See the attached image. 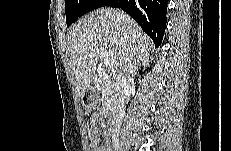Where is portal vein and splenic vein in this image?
Wrapping results in <instances>:
<instances>
[{
    "label": "portal vein and splenic vein",
    "mask_w": 231,
    "mask_h": 151,
    "mask_svg": "<svg viewBox=\"0 0 231 151\" xmlns=\"http://www.w3.org/2000/svg\"><path fill=\"white\" fill-rule=\"evenodd\" d=\"M101 58L104 60V64L108 68H112L114 66V61L109 58L108 52L107 51H102L101 52Z\"/></svg>",
    "instance_id": "obj_1"
}]
</instances>
